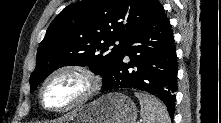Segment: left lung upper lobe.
Masks as SVG:
<instances>
[{"instance_id":"left-lung-upper-lobe-1","label":"left lung upper lobe","mask_w":221,"mask_h":123,"mask_svg":"<svg viewBox=\"0 0 221 123\" xmlns=\"http://www.w3.org/2000/svg\"><path fill=\"white\" fill-rule=\"evenodd\" d=\"M157 3V0H83L65 7L39 44L36 67L30 76L31 92L54 70L68 65L88 66L106 78L129 37ZM116 41L120 43L115 45Z\"/></svg>"}]
</instances>
